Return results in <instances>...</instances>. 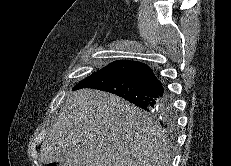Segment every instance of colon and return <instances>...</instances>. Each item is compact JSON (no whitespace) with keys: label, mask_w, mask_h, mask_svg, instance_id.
<instances>
[{"label":"colon","mask_w":231,"mask_h":166,"mask_svg":"<svg viewBox=\"0 0 231 166\" xmlns=\"http://www.w3.org/2000/svg\"><path fill=\"white\" fill-rule=\"evenodd\" d=\"M48 166H57V165H55V164H50V165H48Z\"/></svg>","instance_id":"5ec220e1"}]
</instances>
